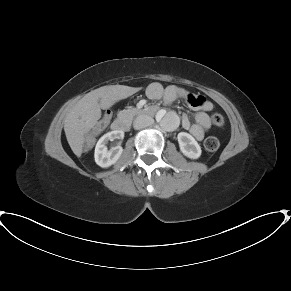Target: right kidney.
Wrapping results in <instances>:
<instances>
[{"mask_svg":"<svg viewBox=\"0 0 291 291\" xmlns=\"http://www.w3.org/2000/svg\"><path fill=\"white\" fill-rule=\"evenodd\" d=\"M124 138V132L120 130H115L104 134L97 142L95 147L94 158L97 165L102 168H107L113 165L121 156L123 148L118 144L112 147L110 150L107 148V143L109 141H114L116 139L122 140Z\"/></svg>","mask_w":291,"mask_h":291,"instance_id":"ca27d5eb","label":"right kidney"}]
</instances>
